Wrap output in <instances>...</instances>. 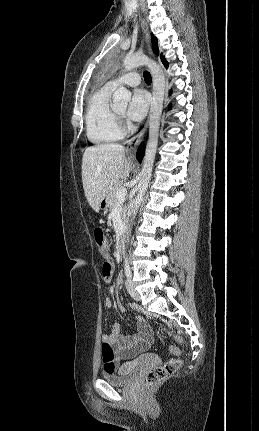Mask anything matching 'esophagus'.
Returning <instances> with one entry per match:
<instances>
[{"instance_id": "34e87169", "label": "esophagus", "mask_w": 259, "mask_h": 431, "mask_svg": "<svg viewBox=\"0 0 259 431\" xmlns=\"http://www.w3.org/2000/svg\"><path fill=\"white\" fill-rule=\"evenodd\" d=\"M141 26H142V31H143V34L145 37L147 52H148L149 56L152 57L153 53H152L151 40H150V35H149V28H148L147 22L142 17H141ZM147 127H148V120L146 121L142 130L139 133H137L135 136H133L128 141L126 151L130 157L135 156L137 146L140 143V141L142 140V138L144 137L146 130H147Z\"/></svg>"}]
</instances>
